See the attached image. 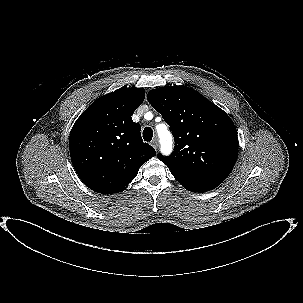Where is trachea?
<instances>
[{"instance_id": "3493384b", "label": "trachea", "mask_w": 303, "mask_h": 303, "mask_svg": "<svg viewBox=\"0 0 303 303\" xmlns=\"http://www.w3.org/2000/svg\"><path fill=\"white\" fill-rule=\"evenodd\" d=\"M153 137V130L150 127H146L143 130V139L147 142H150Z\"/></svg>"}]
</instances>
